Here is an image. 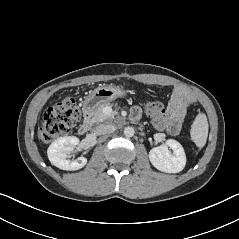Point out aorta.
Wrapping results in <instances>:
<instances>
[{"label":"aorta","instance_id":"1","mask_svg":"<svg viewBox=\"0 0 239 239\" xmlns=\"http://www.w3.org/2000/svg\"><path fill=\"white\" fill-rule=\"evenodd\" d=\"M134 133H135V131H134V128L133 127H125V129H124V135L126 136V137H132V136H134Z\"/></svg>","mask_w":239,"mask_h":239}]
</instances>
